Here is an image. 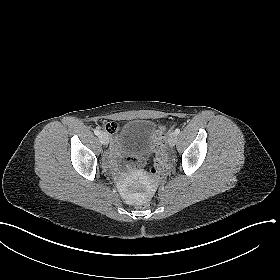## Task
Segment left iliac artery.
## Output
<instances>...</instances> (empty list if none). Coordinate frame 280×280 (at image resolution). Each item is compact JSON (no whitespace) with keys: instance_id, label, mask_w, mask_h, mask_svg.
Returning <instances> with one entry per match:
<instances>
[{"instance_id":"left-iliac-artery-1","label":"left iliac artery","mask_w":280,"mask_h":280,"mask_svg":"<svg viewBox=\"0 0 280 280\" xmlns=\"http://www.w3.org/2000/svg\"><path fill=\"white\" fill-rule=\"evenodd\" d=\"M175 133H176V134H179V133H180V129L177 128V129L175 130Z\"/></svg>"}]
</instances>
